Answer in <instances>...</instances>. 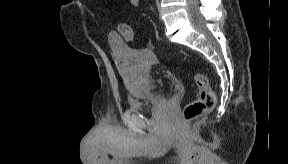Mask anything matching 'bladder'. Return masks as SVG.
<instances>
[{
    "instance_id": "bladder-1",
    "label": "bladder",
    "mask_w": 288,
    "mask_h": 164,
    "mask_svg": "<svg viewBox=\"0 0 288 164\" xmlns=\"http://www.w3.org/2000/svg\"><path fill=\"white\" fill-rule=\"evenodd\" d=\"M110 47L117 66L121 69L129 86V109L139 113L151 112L167 101L147 75V69L155 63L148 52L136 50L118 37L111 36Z\"/></svg>"
}]
</instances>
